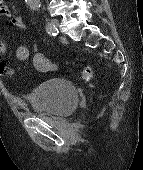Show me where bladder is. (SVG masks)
<instances>
[{
  "label": "bladder",
  "mask_w": 143,
  "mask_h": 170,
  "mask_svg": "<svg viewBox=\"0 0 143 170\" xmlns=\"http://www.w3.org/2000/svg\"><path fill=\"white\" fill-rule=\"evenodd\" d=\"M29 111L38 116L65 118L78 105L76 88L68 81L50 77L26 95Z\"/></svg>",
  "instance_id": "bladder-1"
}]
</instances>
